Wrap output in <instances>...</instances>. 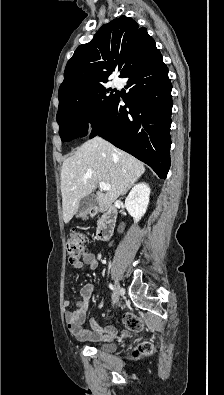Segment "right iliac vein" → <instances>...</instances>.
Segmentation results:
<instances>
[{"mask_svg": "<svg viewBox=\"0 0 224 395\" xmlns=\"http://www.w3.org/2000/svg\"><path fill=\"white\" fill-rule=\"evenodd\" d=\"M115 293L113 295V304H116L119 301L120 294L122 293V288L120 287L118 281H115Z\"/></svg>", "mask_w": 224, "mask_h": 395, "instance_id": "63e3f726", "label": "right iliac vein"}]
</instances>
